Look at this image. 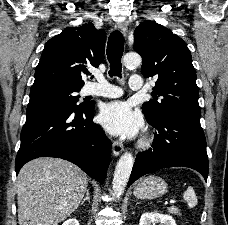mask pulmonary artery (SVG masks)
Returning <instances> with one entry per match:
<instances>
[{"instance_id": "obj_1", "label": "pulmonary artery", "mask_w": 228, "mask_h": 225, "mask_svg": "<svg viewBox=\"0 0 228 225\" xmlns=\"http://www.w3.org/2000/svg\"><path fill=\"white\" fill-rule=\"evenodd\" d=\"M131 80H142V75H131ZM145 85L144 81H131L129 85V90H143ZM84 94L90 96H100L106 98H117L122 95V90L110 84L103 78H97V82H88L84 89Z\"/></svg>"}]
</instances>
